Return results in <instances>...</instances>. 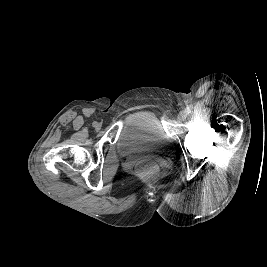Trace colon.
Listing matches in <instances>:
<instances>
[{
  "mask_svg": "<svg viewBox=\"0 0 267 267\" xmlns=\"http://www.w3.org/2000/svg\"><path fill=\"white\" fill-rule=\"evenodd\" d=\"M137 174L144 181H151L158 174V166L151 161L140 162L137 164Z\"/></svg>",
  "mask_w": 267,
  "mask_h": 267,
  "instance_id": "1",
  "label": "colon"
}]
</instances>
